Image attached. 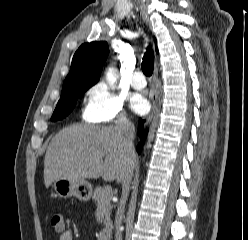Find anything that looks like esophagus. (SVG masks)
<instances>
[{"label": "esophagus", "mask_w": 248, "mask_h": 240, "mask_svg": "<svg viewBox=\"0 0 248 240\" xmlns=\"http://www.w3.org/2000/svg\"><path fill=\"white\" fill-rule=\"evenodd\" d=\"M157 76H158V68L156 66L155 67V72H154V79H153L154 92H153V95L151 97L152 109H151V112H150L149 116L147 117L146 123H148L152 119V117H153V115H154V113H155V111L157 109V92H156V89H155V82L157 80Z\"/></svg>", "instance_id": "1"}]
</instances>
